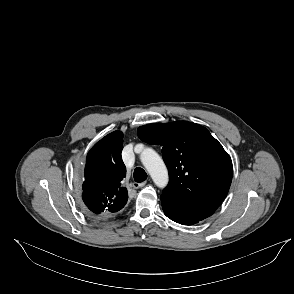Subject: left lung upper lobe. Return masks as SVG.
Wrapping results in <instances>:
<instances>
[{"instance_id":"left-lung-upper-lobe-1","label":"left lung upper lobe","mask_w":294,"mask_h":294,"mask_svg":"<svg viewBox=\"0 0 294 294\" xmlns=\"http://www.w3.org/2000/svg\"><path fill=\"white\" fill-rule=\"evenodd\" d=\"M137 135L163 146L170 181L161 201L199 219L212 215L233 175L231 158L218 140L205 127L185 121L141 126Z\"/></svg>"}]
</instances>
